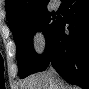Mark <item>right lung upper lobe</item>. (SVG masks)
<instances>
[{"label": "right lung upper lobe", "mask_w": 89, "mask_h": 89, "mask_svg": "<svg viewBox=\"0 0 89 89\" xmlns=\"http://www.w3.org/2000/svg\"><path fill=\"white\" fill-rule=\"evenodd\" d=\"M49 0H6V15L10 27L19 20L47 10Z\"/></svg>", "instance_id": "1"}]
</instances>
